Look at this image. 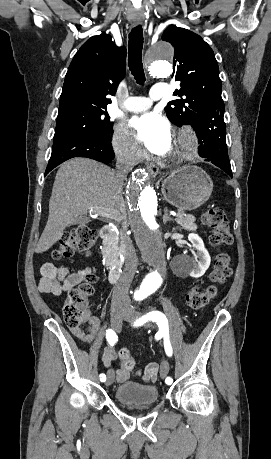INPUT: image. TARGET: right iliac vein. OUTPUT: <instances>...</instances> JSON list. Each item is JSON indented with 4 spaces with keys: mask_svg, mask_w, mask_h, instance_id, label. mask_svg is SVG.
<instances>
[{
    "mask_svg": "<svg viewBox=\"0 0 271 459\" xmlns=\"http://www.w3.org/2000/svg\"><path fill=\"white\" fill-rule=\"evenodd\" d=\"M125 312H126V309H120V310L114 309L110 313L111 323L117 331H119L121 328L123 316ZM113 380H114V371L110 369L107 372V379H106L105 385L106 386L111 385L113 383Z\"/></svg>",
    "mask_w": 271,
    "mask_h": 459,
    "instance_id": "1",
    "label": "right iliac vein"
}]
</instances>
